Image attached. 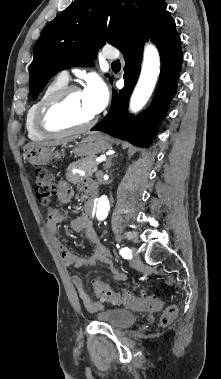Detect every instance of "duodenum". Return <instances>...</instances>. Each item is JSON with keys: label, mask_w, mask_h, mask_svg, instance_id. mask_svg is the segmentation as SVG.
I'll list each match as a JSON object with an SVG mask.
<instances>
[{"label": "duodenum", "mask_w": 221, "mask_h": 379, "mask_svg": "<svg viewBox=\"0 0 221 379\" xmlns=\"http://www.w3.org/2000/svg\"><path fill=\"white\" fill-rule=\"evenodd\" d=\"M96 198V189L93 185H91L87 190V200L84 205V213L90 215L94 208Z\"/></svg>", "instance_id": "410a0bca"}]
</instances>
